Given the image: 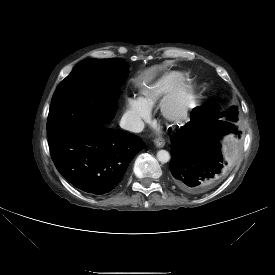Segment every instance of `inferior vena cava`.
I'll return each mask as SVG.
<instances>
[{"label": "inferior vena cava", "mask_w": 275, "mask_h": 275, "mask_svg": "<svg viewBox=\"0 0 275 275\" xmlns=\"http://www.w3.org/2000/svg\"><path fill=\"white\" fill-rule=\"evenodd\" d=\"M120 127L135 133L144 129V122L137 116L124 114L120 120Z\"/></svg>", "instance_id": "602c4592"}]
</instances>
